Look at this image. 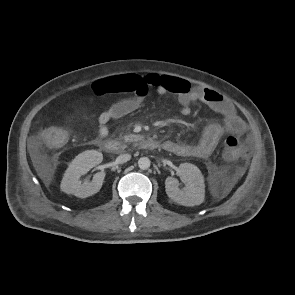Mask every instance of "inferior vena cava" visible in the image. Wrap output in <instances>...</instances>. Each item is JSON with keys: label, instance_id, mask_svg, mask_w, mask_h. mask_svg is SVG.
Segmentation results:
<instances>
[{"label": "inferior vena cava", "instance_id": "1", "mask_svg": "<svg viewBox=\"0 0 295 295\" xmlns=\"http://www.w3.org/2000/svg\"><path fill=\"white\" fill-rule=\"evenodd\" d=\"M130 158H131V155H130V154H121V155H119V156L116 158V162H117L118 164H123V163L129 161Z\"/></svg>", "mask_w": 295, "mask_h": 295}]
</instances>
